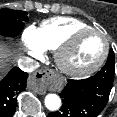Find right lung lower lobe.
<instances>
[{
	"label": "right lung lower lobe",
	"instance_id": "right-lung-lower-lobe-1",
	"mask_svg": "<svg viewBox=\"0 0 117 117\" xmlns=\"http://www.w3.org/2000/svg\"><path fill=\"white\" fill-rule=\"evenodd\" d=\"M28 73L14 67L0 81V117H12L16 109V95L26 88Z\"/></svg>",
	"mask_w": 117,
	"mask_h": 117
}]
</instances>
